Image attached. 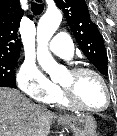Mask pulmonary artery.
Wrapping results in <instances>:
<instances>
[{
	"mask_svg": "<svg viewBox=\"0 0 117 136\" xmlns=\"http://www.w3.org/2000/svg\"><path fill=\"white\" fill-rule=\"evenodd\" d=\"M49 49L62 58L70 59L74 54V45L65 32H58L49 43Z\"/></svg>",
	"mask_w": 117,
	"mask_h": 136,
	"instance_id": "e3ab8cb5",
	"label": "pulmonary artery"
}]
</instances>
